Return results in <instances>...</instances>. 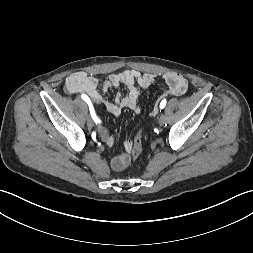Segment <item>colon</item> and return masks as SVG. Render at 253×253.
I'll return each instance as SVG.
<instances>
[{"label": "colon", "mask_w": 253, "mask_h": 253, "mask_svg": "<svg viewBox=\"0 0 253 253\" xmlns=\"http://www.w3.org/2000/svg\"><path fill=\"white\" fill-rule=\"evenodd\" d=\"M131 155L133 159H138L142 153V142H141V136L138 132L134 138V140L131 143Z\"/></svg>", "instance_id": "1"}]
</instances>
